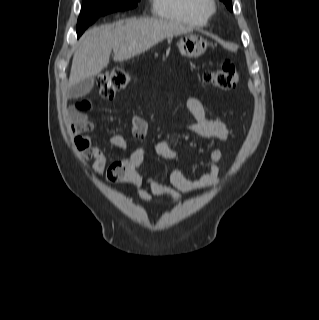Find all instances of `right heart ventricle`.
<instances>
[{
	"mask_svg": "<svg viewBox=\"0 0 319 320\" xmlns=\"http://www.w3.org/2000/svg\"><path fill=\"white\" fill-rule=\"evenodd\" d=\"M152 12L159 18L195 27L205 26L211 16L206 0H152Z\"/></svg>",
	"mask_w": 319,
	"mask_h": 320,
	"instance_id": "1",
	"label": "right heart ventricle"
}]
</instances>
